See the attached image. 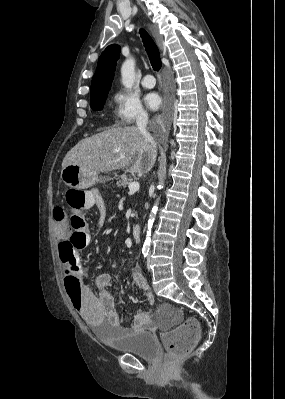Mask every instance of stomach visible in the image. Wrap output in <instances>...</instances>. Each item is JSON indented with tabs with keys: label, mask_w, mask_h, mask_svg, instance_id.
Segmentation results:
<instances>
[{
	"label": "stomach",
	"mask_w": 285,
	"mask_h": 399,
	"mask_svg": "<svg viewBox=\"0 0 285 399\" xmlns=\"http://www.w3.org/2000/svg\"><path fill=\"white\" fill-rule=\"evenodd\" d=\"M61 179L65 185L73 189H87L99 181L97 175L78 165H67L63 167Z\"/></svg>",
	"instance_id": "0dacf381"
}]
</instances>
